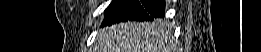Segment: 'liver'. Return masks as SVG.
Returning a JSON list of instances; mask_svg holds the SVG:
<instances>
[{
	"instance_id": "liver-1",
	"label": "liver",
	"mask_w": 261,
	"mask_h": 52,
	"mask_svg": "<svg viewBox=\"0 0 261 52\" xmlns=\"http://www.w3.org/2000/svg\"><path fill=\"white\" fill-rule=\"evenodd\" d=\"M171 41V29L160 19L121 22L100 30L96 52H168Z\"/></svg>"
}]
</instances>
